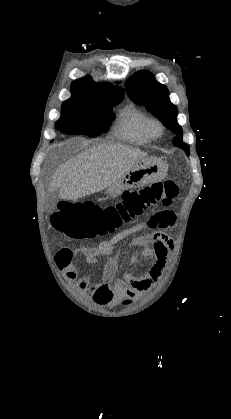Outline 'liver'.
<instances>
[{
  "label": "liver",
  "instance_id": "1",
  "mask_svg": "<svg viewBox=\"0 0 231 419\" xmlns=\"http://www.w3.org/2000/svg\"><path fill=\"white\" fill-rule=\"evenodd\" d=\"M148 154L122 144H99L59 167L49 191L59 189V197L77 201L113 185L133 165Z\"/></svg>",
  "mask_w": 231,
  "mask_h": 419
}]
</instances>
